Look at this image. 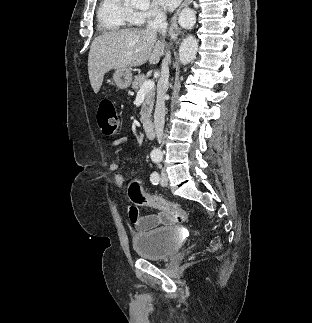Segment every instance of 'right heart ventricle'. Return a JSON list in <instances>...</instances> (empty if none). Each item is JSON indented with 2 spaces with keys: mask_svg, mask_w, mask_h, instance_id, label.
<instances>
[{
  "mask_svg": "<svg viewBox=\"0 0 312 323\" xmlns=\"http://www.w3.org/2000/svg\"><path fill=\"white\" fill-rule=\"evenodd\" d=\"M141 17L138 9L122 5V0H100L93 13V20H100L102 29H129V25H137Z\"/></svg>",
  "mask_w": 312,
  "mask_h": 323,
  "instance_id": "e07e8e85",
  "label": "right heart ventricle"
}]
</instances>
